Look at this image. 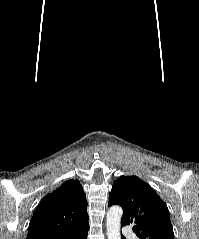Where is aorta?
Instances as JSON below:
<instances>
[{
    "label": "aorta",
    "instance_id": "762f6f07",
    "mask_svg": "<svg viewBox=\"0 0 199 239\" xmlns=\"http://www.w3.org/2000/svg\"><path fill=\"white\" fill-rule=\"evenodd\" d=\"M123 209L120 206H112L107 213L108 239H121L120 223Z\"/></svg>",
    "mask_w": 199,
    "mask_h": 239
}]
</instances>
